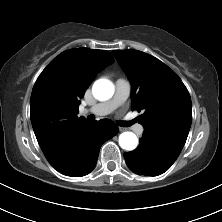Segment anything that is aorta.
Instances as JSON below:
<instances>
[{"instance_id": "aorta-1", "label": "aorta", "mask_w": 222, "mask_h": 222, "mask_svg": "<svg viewBox=\"0 0 222 222\" xmlns=\"http://www.w3.org/2000/svg\"><path fill=\"white\" fill-rule=\"evenodd\" d=\"M93 96L101 101L110 99L114 94V85L110 80H96L92 86ZM138 138L133 132H123L119 136V145L122 149L132 151L137 147Z\"/></svg>"}]
</instances>
